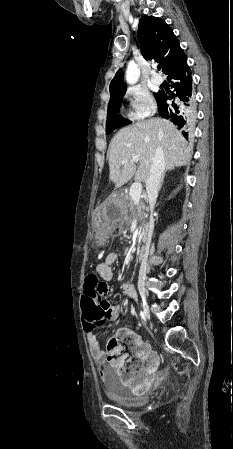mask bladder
Segmentation results:
<instances>
[{
	"instance_id": "obj_1",
	"label": "bladder",
	"mask_w": 233,
	"mask_h": 449,
	"mask_svg": "<svg viewBox=\"0 0 233 449\" xmlns=\"http://www.w3.org/2000/svg\"><path fill=\"white\" fill-rule=\"evenodd\" d=\"M107 397L117 406L123 408H135L145 404V400L136 396L132 391L120 382L111 379L105 389Z\"/></svg>"
}]
</instances>
